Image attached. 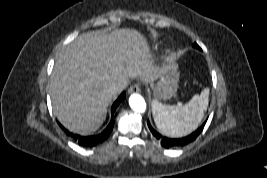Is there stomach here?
Listing matches in <instances>:
<instances>
[{
    "label": "stomach",
    "mask_w": 267,
    "mask_h": 178,
    "mask_svg": "<svg viewBox=\"0 0 267 178\" xmlns=\"http://www.w3.org/2000/svg\"><path fill=\"white\" fill-rule=\"evenodd\" d=\"M179 71L178 65L172 62L166 73L158 78L156 83H151L155 98L170 99L176 94L178 88Z\"/></svg>",
    "instance_id": "obj_1"
}]
</instances>
